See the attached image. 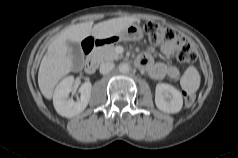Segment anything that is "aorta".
<instances>
[{"label":"aorta","mask_w":238,"mask_h":158,"mask_svg":"<svg viewBox=\"0 0 238 158\" xmlns=\"http://www.w3.org/2000/svg\"><path fill=\"white\" fill-rule=\"evenodd\" d=\"M129 70H130V65L128 64V63H121L120 65H119V71L121 72V73H128L129 72Z\"/></svg>","instance_id":"aorta-1"}]
</instances>
